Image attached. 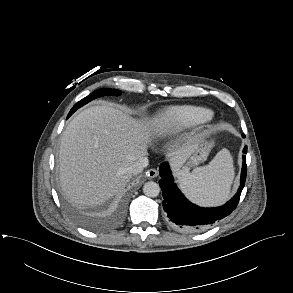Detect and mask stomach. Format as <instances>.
Here are the masks:
<instances>
[{
  "label": "stomach",
  "mask_w": 293,
  "mask_h": 293,
  "mask_svg": "<svg viewBox=\"0 0 293 293\" xmlns=\"http://www.w3.org/2000/svg\"><path fill=\"white\" fill-rule=\"evenodd\" d=\"M210 149V143L203 141L199 143L194 152L188 157L179 170L180 173H189L191 167L198 165L206 160Z\"/></svg>",
  "instance_id": "0dacf381"
}]
</instances>
